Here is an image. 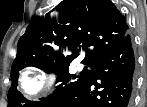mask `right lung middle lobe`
Listing matches in <instances>:
<instances>
[{"mask_svg": "<svg viewBox=\"0 0 147 107\" xmlns=\"http://www.w3.org/2000/svg\"><path fill=\"white\" fill-rule=\"evenodd\" d=\"M27 66H34L39 69L45 70V72H55L57 75V83L59 85L56 88V91L50 95L47 100L35 101V102H26V99L22 96V94L16 89L17 80H18V72ZM68 66L63 67H55V68H44L39 67L35 63L29 62L23 66L12 67L11 79H12V88H10L8 93V106L11 107H54L58 102H60L63 98L77 89L80 85H82L87 78L89 77L91 71L86 68L78 76H74L69 74ZM91 67V66H90Z\"/></svg>", "mask_w": 147, "mask_h": 107, "instance_id": "right-lung-middle-lobe-1", "label": "right lung middle lobe"}]
</instances>
